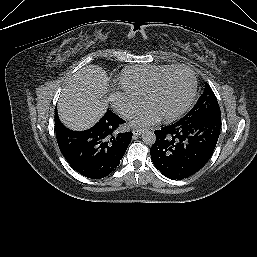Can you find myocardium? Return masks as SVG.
Instances as JSON below:
<instances>
[{
	"mask_svg": "<svg viewBox=\"0 0 257 257\" xmlns=\"http://www.w3.org/2000/svg\"><path fill=\"white\" fill-rule=\"evenodd\" d=\"M179 70H184L187 71L190 76H191V88L189 91V94L186 98V100L183 102V104L176 109L175 111L166 114V115H161V118L165 121H170L173 120L175 118H177L178 116H180L182 113H184L189 106L191 105L196 91H197V76L196 73L194 72V70L192 68H190L189 66L186 65H176V66H172L171 68H169L168 70H166L164 73H162L155 81L154 83L151 85V87L149 88L146 96H145V105H148L150 99L152 98V96L157 92V90L160 88L161 84L163 83V81L173 72L179 71Z\"/></svg>",
	"mask_w": 257,
	"mask_h": 257,
	"instance_id": "f54148a6",
	"label": "myocardium"
}]
</instances>
